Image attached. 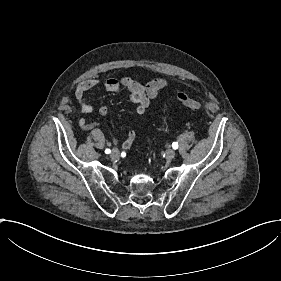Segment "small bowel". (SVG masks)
<instances>
[{
    "label": "small bowel",
    "instance_id": "obj_1",
    "mask_svg": "<svg viewBox=\"0 0 281 281\" xmlns=\"http://www.w3.org/2000/svg\"><path fill=\"white\" fill-rule=\"evenodd\" d=\"M99 84L100 80L94 78L84 81L77 86L75 97L79 102L80 109L83 113H93L96 110L95 107L89 103L87 93ZM167 85L168 81L164 78H155L141 84L130 77H122L107 79L103 83L102 88L107 92H117L121 87L125 88L130 95L131 101L135 105V116L142 117L146 113L151 100L154 99ZM97 112L102 116H106L108 114V108L106 106L98 107ZM134 140L135 132L130 131L126 140L123 142V148H129Z\"/></svg>",
    "mask_w": 281,
    "mask_h": 281
}]
</instances>
